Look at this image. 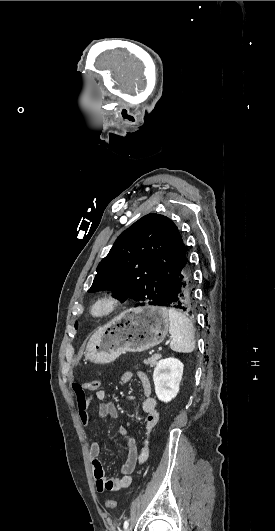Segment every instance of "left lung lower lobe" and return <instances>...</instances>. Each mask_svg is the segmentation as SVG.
<instances>
[{
  "mask_svg": "<svg viewBox=\"0 0 275 531\" xmlns=\"http://www.w3.org/2000/svg\"><path fill=\"white\" fill-rule=\"evenodd\" d=\"M162 306L172 307L194 315L196 298L190 263L187 261L182 269L172 293Z\"/></svg>",
  "mask_w": 275,
  "mask_h": 531,
  "instance_id": "obj_1",
  "label": "left lung lower lobe"
}]
</instances>
